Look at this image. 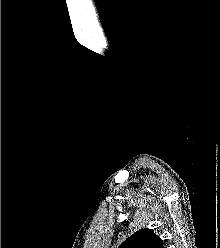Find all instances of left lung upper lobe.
Segmentation results:
<instances>
[{"label":"left lung upper lobe","instance_id":"left-lung-upper-lobe-1","mask_svg":"<svg viewBox=\"0 0 220 248\" xmlns=\"http://www.w3.org/2000/svg\"><path fill=\"white\" fill-rule=\"evenodd\" d=\"M119 248H163V243L151 229L144 228L128 237Z\"/></svg>","mask_w":220,"mask_h":248}]
</instances>
